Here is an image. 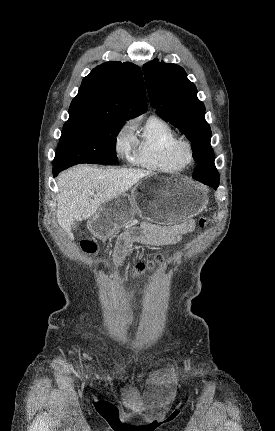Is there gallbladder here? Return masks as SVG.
Returning <instances> with one entry per match:
<instances>
[{
  "mask_svg": "<svg viewBox=\"0 0 275 431\" xmlns=\"http://www.w3.org/2000/svg\"><path fill=\"white\" fill-rule=\"evenodd\" d=\"M79 226V222L78 221H75L74 223H73V225H72V228L73 229H77V227Z\"/></svg>",
  "mask_w": 275,
  "mask_h": 431,
  "instance_id": "bac80fb5",
  "label": "gallbladder"
}]
</instances>
